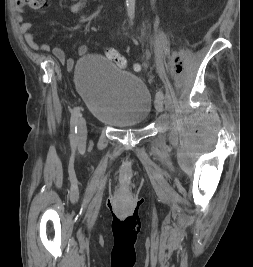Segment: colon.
<instances>
[{
    "label": "colon",
    "instance_id": "obj_1",
    "mask_svg": "<svg viewBox=\"0 0 253 267\" xmlns=\"http://www.w3.org/2000/svg\"><path fill=\"white\" fill-rule=\"evenodd\" d=\"M46 0H16L18 6H27L31 8H40L45 4ZM106 56L112 60L119 68H125L127 66L126 58L113 48L106 50ZM136 70H140L141 66L137 65Z\"/></svg>",
    "mask_w": 253,
    "mask_h": 267
}]
</instances>
